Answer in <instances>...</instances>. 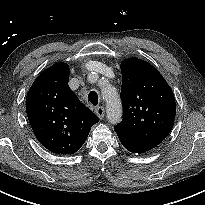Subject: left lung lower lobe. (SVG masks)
<instances>
[{
  "mask_svg": "<svg viewBox=\"0 0 205 205\" xmlns=\"http://www.w3.org/2000/svg\"><path fill=\"white\" fill-rule=\"evenodd\" d=\"M114 130L117 133L122 145L132 153L141 154L157 146L156 144L132 136L121 129L114 128Z\"/></svg>",
  "mask_w": 205,
  "mask_h": 205,
  "instance_id": "0a47b994",
  "label": "left lung lower lobe"
}]
</instances>
